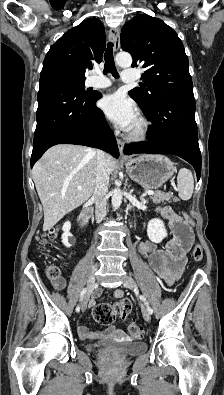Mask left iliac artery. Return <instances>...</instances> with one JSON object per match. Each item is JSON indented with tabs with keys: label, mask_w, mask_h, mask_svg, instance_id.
<instances>
[{
	"label": "left iliac artery",
	"mask_w": 224,
	"mask_h": 395,
	"mask_svg": "<svg viewBox=\"0 0 224 395\" xmlns=\"http://www.w3.org/2000/svg\"><path fill=\"white\" fill-rule=\"evenodd\" d=\"M140 299H141V300L145 303V305L147 306L149 313L152 314V313H153V309L149 306L148 302L146 301V298H145L143 295H141V296H140Z\"/></svg>",
	"instance_id": "1"
}]
</instances>
